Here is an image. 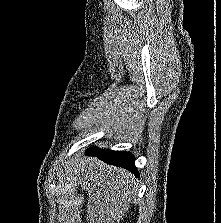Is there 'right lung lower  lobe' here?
<instances>
[{
  "mask_svg": "<svg viewBox=\"0 0 221 223\" xmlns=\"http://www.w3.org/2000/svg\"><path fill=\"white\" fill-rule=\"evenodd\" d=\"M86 154L97 156L99 159L110 165L126 168L138 176L134 164V156L130 152L104 150L92 146L86 150Z\"/></svg>",
  "mask_w": 221,
  "mask_h": 223,
  "instance_id": "98d812e1",
  "label": "right lung lower lobe"
}]
</instances>
